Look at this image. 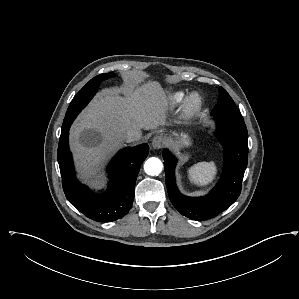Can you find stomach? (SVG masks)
<instances>
[{
	"label": "stomach",
	"instance_id": "0dacf381",
	"mask_svg": "<svg viewBox=\"0 0 299 299\" xmlns=\"http://www.w3.org/2000/svg\"><path fill=\"white\" fill-rule=\"evenodd\" d=\"M168 142L172 147L189 146L191 144V141L186 134L169 136Z\"/></svg>",
	"mask_w": 299,
	"mask_h": 299
}]
</instances>
